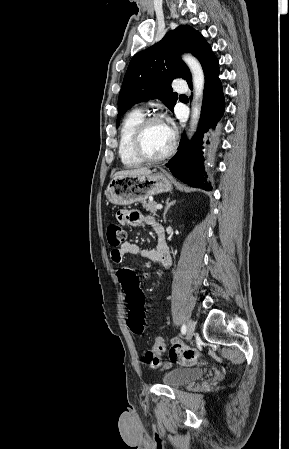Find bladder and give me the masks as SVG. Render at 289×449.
<instances>
[{
	"label": "bladder",
	"instance_id": "bladder-1",
	"mask_svg": "<svg viewBox=\"0 0 289 449\" xmlns=\"http://www.w3.org/2000/svg\"><path fill=\"white\" fill-rule=\"evenodd\" d=\"M205 374L201 368H175L167 372L163 377V383L169 387L177 388L193 383Z\"/></svg>",
	"mask_w": 289,
	"mask_h": 449
}]
</instances>
